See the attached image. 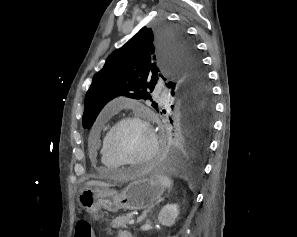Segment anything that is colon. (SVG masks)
I'll list each match as a JSON object with an SVG mask.
<instances>
[{"label": "colon", "instance_id": "1", "mask_svg": "<svg viewBox=\"0 0 297 237\" xmlns=\"http://www.w3.org/2000/svg\"><path fill=\"white\" fill-rule=\"evenodd\" d=\"M75 237H94L93 229L89 221L81 219L76 223Z\"/></svg>", "mask_w": 297, "mask_h": 237}]
</instances>
